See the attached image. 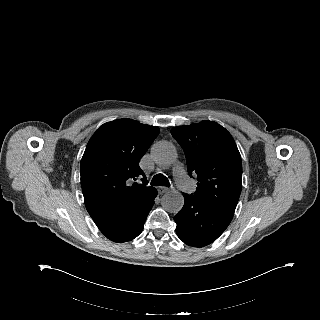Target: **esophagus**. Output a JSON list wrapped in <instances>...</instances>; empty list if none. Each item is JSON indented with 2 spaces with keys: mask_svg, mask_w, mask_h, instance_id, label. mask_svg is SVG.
<instances>
[{
  "mask_svg": "<svg viewBox=\"0 0 320 320\" xmlns=\"http://www.w3.org/2000/svg\"><path fill=\"white\" fill-rule=\"evenodd\" d=\"M169 191H170V189L167 188V187L161 186V187L158 188V192H159L160 194H164V193H167V192H169Z\"/></svg>",
  "mask_w": 320,
  "mask_h": 320,
  "instance_id": "1",
  "label": "esophagus"
}]
</instances>
